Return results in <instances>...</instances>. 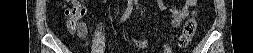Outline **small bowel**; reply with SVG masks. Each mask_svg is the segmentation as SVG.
Returning a JSON list of instances; mask_svg holds the SVG:
<instances>
[{"label": "small bowel", "instance_id": "obj_1", "mask_svg": "<svg viewBox=\"0 0 253 53\" xmlns=\"http://www.w3.org/2000/svg\"><path fill=\"white\" fill-rule=\"evenodd\" d=\"M195 0H185L182 7L177 8H168V11L172 15L171 24L173 27H177L180 25L181 21L184 19V17L187 15L189 8L195 4ZM162 8L165 9L164 6ZM87 24L85 21H81L79 28L77 29V35L80 38H85L87 35Z\"/></svg>", "mask_w": 253, "mask_h": 53}]
</instances>
